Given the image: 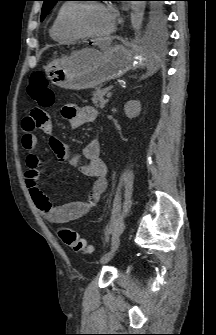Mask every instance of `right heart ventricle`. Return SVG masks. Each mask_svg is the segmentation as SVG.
I'll list each match as a JSON object with an SVG mask.
<instances>
[{
    "instance_id": "e07e8e85",
    "label": "right heart ventricle",
    "mask_w": 216,
    "mask_h": 335,
    "mask_svg": "<svg viewBox=\"0 0 216 335\" xmlns=\"http://www.w3.org/2000/svg\"><path fill=\"white\" fill-rule=\"evenodd\" d=\"M73 5L71 2L62 3L52 20L49 33L51 38L59 43H71L80 39V36L72 33L66 25L67 16Z\"/></svg>"
}]
</instances>
